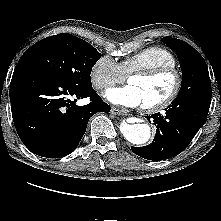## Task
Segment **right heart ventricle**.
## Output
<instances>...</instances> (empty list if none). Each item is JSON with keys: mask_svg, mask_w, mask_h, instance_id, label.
<instances>
[{"mask_svg": "<svg viewBox=\"0 0 221 221\" xmlns=\"http://www.w3.org/2000/svg\"><path fill=\"white\" fill-rule=\"evenodd\" d=\"M175 56L166 48L150 46L125 58L120 62V67L125 75L135 70L151 69L160 66L175 67Z\"/></svg>", "mask_w": 221, "mask_h": 221, "instance_id": "e07e8e85", "label": "right heart ventricle"}]
</instances>
